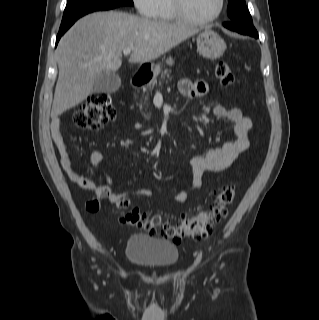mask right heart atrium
I'll list each match as a JSON object with an SVG mask.
<instances>
[{
	"label": "right heart atrium",
	"mask_w": 319,
	"mask_h": 320,
	"mask_svg": "<svg viewBox=\"0 0 319 320\" xmlns=\"http://www.w3.org/2000/svg\"><path fill=\"white\" fill-rule=\"evenodd\" d=\"M138 12L146 17H157L162 0H132Z\"/></svg>",
	"instance_id": "right-heart-atrium-1"
}]
</instances>
